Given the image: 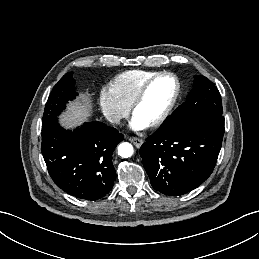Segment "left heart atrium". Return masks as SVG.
<instances>
[{"mask_svg": "<svg viewBox=\"0 0 259 259\" xmlns=\"http://www.w3.org/2000/svg\"><path fill=\"white\" fill-rule=\"evenodd\" d=\"M131 127L134 129V130H144L148 127V124H146L145 122L141 121L139 118H137L135 115L134 117L132 118V121H131Z\"/></svg>", "mask_w": 259, "mask_h": 259, "instance_id": "left-heart-atrium-1", "label": "left heart atrium"}]
</instances>
